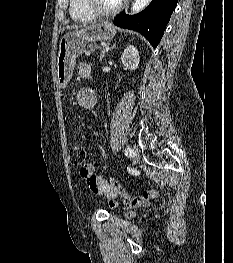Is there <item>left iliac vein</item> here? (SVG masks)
I'll list each match as a JSON object with an SVG mask.
<instances>
[{"label": "left iliac vein", "mask_w": 233, "mask_h": 263, "mask_svg": "<svg viewBox=\"0 0 233 263\" xmlns=\"http://www.w3.org/2000/svg\"><path fill=\"white\" fill-rule=\"evenodd\" d=\"M132 158H133V161L135 163L138 162V160H139V153H138V150L136 148L132 149Z\"/></svg>", "instance_id": "4c4485c4"}]
</instances>
